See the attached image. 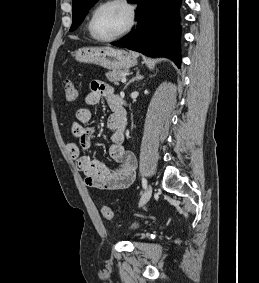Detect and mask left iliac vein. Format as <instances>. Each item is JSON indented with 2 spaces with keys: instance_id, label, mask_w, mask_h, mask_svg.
<instances>
[{
  "instance_id": "1",
  "label": "left iliac vein",
  "mask_w": 259,
  "mask_h": 283,
  "mask_svg": "<svg viewBox=\"0 0 259 283\" xmlns=\"http://www.w3.org/2000/svg\"><path fill=\"white\" fill-rule=\"evenodd\" d=\"M151 196H152V186L148 185V187L146 188L144 194L141 197V200L139 202V206L145 205L149 201Z\"/></svg>"
}]
</instances>
